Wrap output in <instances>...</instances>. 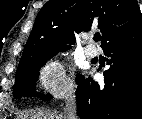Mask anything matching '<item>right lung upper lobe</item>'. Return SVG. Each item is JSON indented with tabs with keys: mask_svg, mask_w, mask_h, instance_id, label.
<instances>
[{
	"mask_svg": "<svg viewBox=\"0 0 142 119\" xmlns=\"http://www.w3.org/2000/svg\"><path fill=\"white\" fill-rule=\"evenodd\" d=\"M97 26L101 47L142 33L137 0H49L39 11L24 48L19 67L46 54L70 48L75 33Z\"/></svg>",
	"mask_w": 142,
	"mask_h": 119,
	"instance_id": "obj_1",
	"label": "right lung upper lobe"
}]
</instances>
